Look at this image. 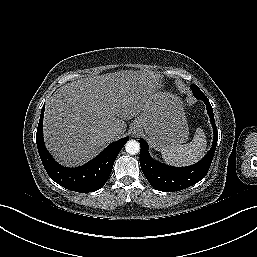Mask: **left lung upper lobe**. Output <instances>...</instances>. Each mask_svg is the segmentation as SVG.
Returning <instances> with one entry per match:
<instances>
[{
    "label": "left lung upper lobe",
    "mask_w": 257,
    "mask_h": 257,
    "mask_svg": "<svg viewBox=\"0 0 257 257\" xmlns=\"http://www.w3.org/2000/svg\"><path fill=\"white\" fill-rule=\"evenodd\" d=\"M191 86H192V91L194 94L202 93V91L199 89V87L197 85H191Z\"/></svg>",
    "instance_id": "5c2ea615"
}]
</instances>
